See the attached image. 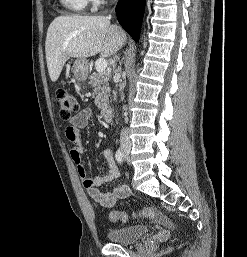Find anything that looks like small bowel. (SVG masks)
Masks as SVG:
<instances>
[{"label": "small bowel", "instance_id": "obj_1", "mask_svg": "<svg viewBox=\"0 0 247 257\" xmlns=\"http://www.w3.org/2000/svg\"><path fill=\"white\" fill-rule=\"evenodd\" d=\"M92 117L91 109H83L77 113L69 125L65 129L67 139L74 144L70 150V157L75 163L77 173L83 182L84 188L87 190L89 196L99 205L103 207H111L119 199H125L130 196V188L126 184H122L113 188L111 192H102L99 187L105 183L111 182L119 176V171L116 166L113 152L110 149H104L101 152V157L106 165V172L96 178H89L87 176L84 164L82 162V155L84 148L81 140V130L84 129ZM155 219L165 221V217L161 213L155 212Z\"/></svg>", "mask_w": 247, "mask_h": 257}]
</instances>
